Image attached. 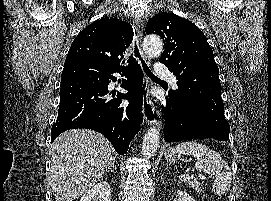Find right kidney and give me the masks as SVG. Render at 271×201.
Returning a JSON list of instances; mask_svg holds the SVG:
<instances>
[{
  "instance_id": "right-kidney-1",
  "label": "right kidney",
  "mask_w": 271,
  "mask_h": 201,
  "mask_svg": "<svg viewBox=\"0 0 271 201\" xmlns=\"http://www.w3.org/2000/svg\"><path fill=\"white\" fill-rule=\"evenodd\" d=\"M111 188L108 182L102 181L88 190L79 201H110Z\"/></svg>"
}]
</instances>
